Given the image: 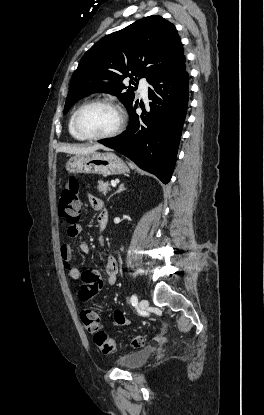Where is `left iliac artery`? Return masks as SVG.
Here are the masks:
<instances>
[{"label": "left iliac artery", "mask_w": 264, "mask_h": 415, "mask_svg": "<svg viewBox=\"0 0 264 415\" xmlns=\"http://www.w3.org/2000/svg\"><path fill=\"white\" fill-rule=\"evenodd\" d=\"M130 302H131V304H132L133 306H136V305H137V303H138L137 296H136V295H132V296H131V298H130Z\"/></svg>", "instance_id": "left-iliac-artery-1"}]
</instances>
